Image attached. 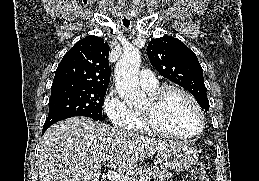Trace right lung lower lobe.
<instances>
[{
  "mask_svg": "<svg viewBox=\"0 0 259 181\" xmlns=\"http://www.w3.org/2000/svg\"><path fill=\"white\" fill-rule=\"evenodd\" d=\"M49 127H43L42 134L48 129Z\"/></svg>",
  "mask_w": 259,
  "mask_h": 181,
  "instance_id": "obj_1",
  "label": "right lung lower lobe"
}]
</instances>
